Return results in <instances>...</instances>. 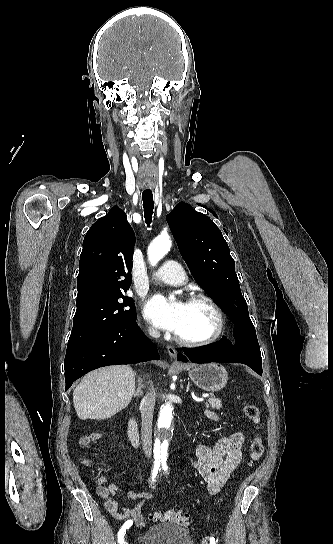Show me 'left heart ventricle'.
<instances>
[{
    "instance_id": "1",
    "label": "left heart ventricle",
    "mask_w": 333,
    "mask_h": 544,
    "mask_svg": "<svg viewBox=\"0 0 333 544\" xmlns=\"http://www.w3.org/2000/svg\"><path fill=\"white\" fill-rule=\"evenodd\" d=\"M215 327V315L205 303H187L177 334L186 339L200 340L209 337Z\"/></svg>"
}]
</instances>
